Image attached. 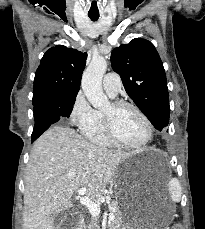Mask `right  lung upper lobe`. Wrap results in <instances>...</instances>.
Returning <instances> with one entry per match:
<instances>
[{"instance_id": "1", "label": "right lung upper lobe", "mask_w": 205, "mask_h": 229, "mask_svg": "<svg viewBox=\"0 0 205 229\" xmlns=\"http://www.w3.org/2000/svg\"><path fill=\"white\" fill-rule=\"evenodd\" d=\"M87 53L63 45L50 48L36 71L33 101L78 93Z\"/></svg>"}]
</instances>
